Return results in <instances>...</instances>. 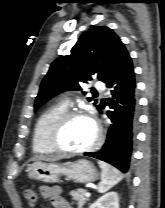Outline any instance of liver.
Returning a JSON list of instances; mask_svg holds the SVG:
<instances>
[{"label":"liver","mask_w":165,"mask_h":208,"mask_svg":"<svg viewBox=\"0 0 165 208\" xmlns=\"http://www.w3.org/2000/svg\"><path fill=\"white\" fill-rule=\"evenodd\" d=\"M36 159L53 162V161H57V160L62 159V157H60V156H58V157H37Z\"/></svg>","instance_id":"liver-1"}]
</instances>
